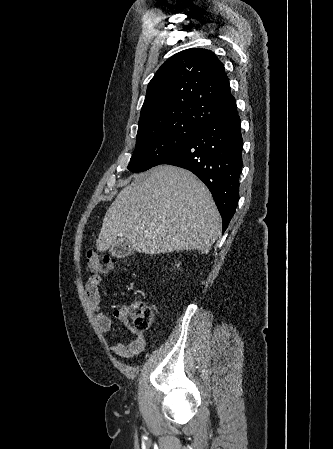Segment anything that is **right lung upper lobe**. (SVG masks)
Returning <instances> with one entry per match:
<instances>
[{"mask_svg":"<svg viewBox=\"0 0 333 449\" xmlns=\"http://www.w3.org/2000/svg\"><path fill=\"white\" fill-rule=\"evenodd\" d=\"M235 108L222 62L210 50L187 49L170 57L149 82L137 135L170 123L202 127Z\"/></svg>","mask_w":333,"mask_h":449,"instance_id":"obj_1","label":"right lung upper lobe"}]
</instances>
